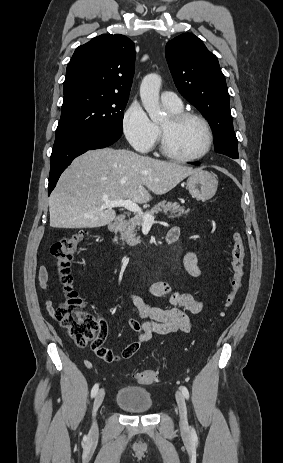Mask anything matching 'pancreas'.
Masks as SVG:
<instances>
[{"label": "pancreas", "mask_w": 283, "mask_h": 463, "mask_svg": "<svg viewBox=\"0 0 283 463\" xmlns=\"http://www.w3.org/2000/svg\"><path fill=\"white\" fill-rule=\"evenodd\" d=\"M169 213V218H176L181 216H187L190 209H185L176 202L161 201L150 210H147L144 214L154 215L159 212ZM144 223L141 216H134L129 221L122 223L120 226L121 239L130 246H135L141 242L140 237H136V232L140 229V226Z\"/></svg>", "instance_id": "cf45deb5"}]
</instances>
